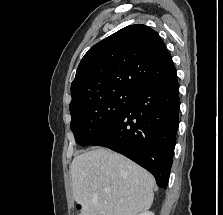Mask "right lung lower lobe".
Returning <instances> with one entry per match:
<instances>
[{"label":"right lung lower lobe","mask_w":223,"mask_h":215,"mask_svg":"<svg viewBox=\"0 0 223 215\" xmlns=\"http://www.w3.org/2000/svg\"><path fill=\"white\" fill-rule=\"evenodd\" d=\"M179 85L176 74L140 90L119 121L91 145L125 155L147 169L159 187L167 188L173 162Z\"/></svg>","instance_id":"1"}]
</instances>
